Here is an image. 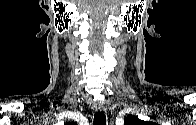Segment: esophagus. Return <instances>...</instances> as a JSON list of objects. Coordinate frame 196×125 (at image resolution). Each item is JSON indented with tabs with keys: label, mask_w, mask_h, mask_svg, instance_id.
I'll return each mask as SVG.
<instances>
[{
	"label": "esophagus",
	"mask_w": 196,
	"mask_h": 125,
	"mask_svg": "<svg viewBox=\"0 0 196 125\" xmlns=\"http://www.w3.org/2000/svg\"><path fill=\"white\" fill-rule=\"evenodd\" d=\"M95 109L99 112H102L105 110L104 105L102 103H95Z\"/></svg>",
	"instance_id": "esophagus-1"
}]
</instances>
